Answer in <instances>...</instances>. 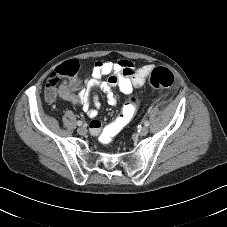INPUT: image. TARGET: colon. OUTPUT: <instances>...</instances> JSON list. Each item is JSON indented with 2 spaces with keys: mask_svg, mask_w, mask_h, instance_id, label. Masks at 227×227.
<instances>
[{
  "mask_svg": "<svg viewBox=\"0 0 227 227\" xmlns=\"http://www.w3.org/2000/svg\"><path fill=\"white\" fill-rule=\"evenodd\" d=\"M79 66L75 61L67 62L59 70L50 74L46 86V97L53 99L56 95V86L60 83L71 85L78 74ZM175 82L173 72L165 67H158L150 73L149 84L155 89L169 88ZM139 108V99L132 95L124 105L122 112L117 116L115 121L106 130L100 134V140L103 143L111 142L116 135L133 119Z\"/></svg>",
  "mask_w": 227,
  "mask_h": 227,
  "instance_id": "obj_1",
  "label": "colon"
}]
</instances>
